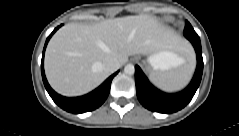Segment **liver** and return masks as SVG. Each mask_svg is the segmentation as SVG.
Wrapping results in <instances>:
<instances>
[{
  "instance_id": "6515ba94",
  "label": "liver",
  "mask_w": 239,
  "mask_h": 136,
  "mask_svg": "<svg viewBox=\"0 0 239 136\" xmlns=\"http://www.w3.org/2000/svg\"><path fill=\"white\" fill-rule=\"evenodd\" d=\"M160 49L185 50L186 44L155 17L145 14L109 19L95 25L68 23L51 38L45 53V72L52 88L64 96H79L98 87L135 54Z\"/></svg>"
}]
</instances>
